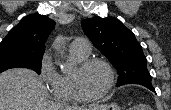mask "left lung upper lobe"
<instances>
[{
  "label": "left lung upper lobe",
  "mask_w": 171,
  "mask_h": 110,
  "mask_svg": "<svg viewBox=\"0 0 171 110\" xmlns=\"http://www.w3.org/2000/svg\"><path fill=\"white\" fill-rule=\"evenodd\" d=\"M82 29L94 46L109 58L117 69V86L140 84L151 86L147 60L133 32L118 19L93 17L81 22Z\"/></svg>",
  "instance_id": "1"
}]
</instances>
